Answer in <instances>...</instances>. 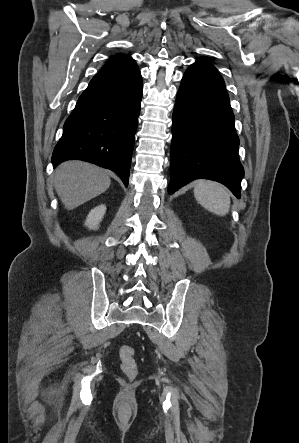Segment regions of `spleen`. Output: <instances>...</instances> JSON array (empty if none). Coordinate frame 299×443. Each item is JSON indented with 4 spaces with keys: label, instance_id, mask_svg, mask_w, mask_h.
I'll return each mask as SVG.
<instances>
[{
    "label": "spleen",
    "instance_id": "spleen-1",
    "mask_svg": "<svg viewBox=\"0 0 299 443\" xmlns=\"http://www.w3.org/2000/svg\"><path fill=\"white\" fill-rule=\"evenodd\" d=\"M194 195L198 203L214 214L223 216L229 211V193L216 182H196Z\"/></svg>",
    "mask_w": 299,
    "mask_h": 443
}]
</instances>
